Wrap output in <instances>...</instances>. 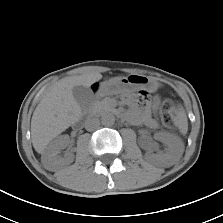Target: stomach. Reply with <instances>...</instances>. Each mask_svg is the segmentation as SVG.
<instances>
[{
    "mask_svg": "<svg viewBox=\"0 0 223 223\" xmlns=\"http://www.w3.org/2000/svg\"><path fill=\"white\" fill-rule=\"evenodd\" d=\"M157 82L145 75L131 74L116 80L105 81L100 85V92L105 95L125 94L136 90L154 91Z\"/></svg>",
    "mask_w": 223,
    "mask_h": 223,
    "instance_id": "obj_1",
    "label": "stomach"
}]
</instances>
